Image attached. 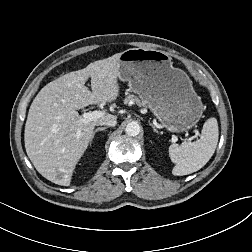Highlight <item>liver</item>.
I'll return each instance as SVG.
<instances>
[{
	"label": "liver",
	"instance_id": "1",
	"mask_svg": "<svg viewBox=\"0 0 252 252\" xmlns=\"http://www.w3.org/2000/svg\"><path fill=\"white\" fill-rule=\"evenodd\" d=\"M120 54L95 61L45 85L33 100L25 124L26 153L47 180L69 186L73 171L88 148L100 121L117 119L111 114L82 122L76 111L91 104L117 99ZM91 79L92 92L85 86Z\"/></svg>",
	"mask_w": 252,
	"mask_h": 252
}]
</instances>
